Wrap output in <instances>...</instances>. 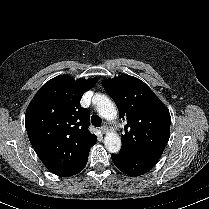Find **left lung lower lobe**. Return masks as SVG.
Here are the masks:
<instances>
[{
  "instance_id": "0a47b994",
  "label": "left lung lower lobe",
  "mask_w": 209,
  "mask_h": 209,
  "mask_svg": "<svg viewBox=\"0 0 209 209\" xmlns=\"http://www.w3.org/2000/svg\"><path fill=\"white\" fill-rule=\"evenodd\" d=\"M111 158L119 170L131 176H139L147 173L158 162L157 159L125 152H120L118 155L111 156Z\"/></svg>"
}]
</instances>
